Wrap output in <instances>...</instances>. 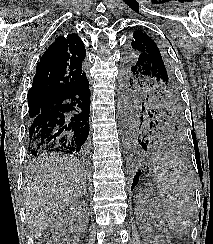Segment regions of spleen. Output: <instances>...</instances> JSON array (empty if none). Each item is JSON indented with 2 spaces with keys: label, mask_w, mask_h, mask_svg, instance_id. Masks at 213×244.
I'll list each match as a JSON object with an SVG mask.
<instances>
[{
  "label": "spleen",
  "mask_w": 213,
  "mask_h": 244,
  "mask_svg": "<svg viewBox=\"0 0 213 244\" xmlns=\"http://www.w3.org/2000/svg\"><path fill=\"white\" fill-rule=\"evenodd\" d=\"M151 170L169 229L180 237L187 235L196 207L191 174L177 157L165 153L153 158Z\"/></svg>",
  "instance_id": "1"
}]
</instances>
